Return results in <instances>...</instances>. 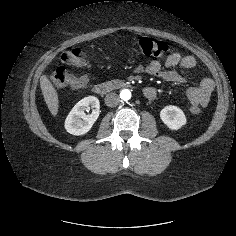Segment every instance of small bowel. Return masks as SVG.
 Wrapping results in <instances>:
<instances>
[{
  "label": "small bowel",
  "instance_id": "obj_1",
  "mask_svg": "<svg viewBox=\"0 0 236 236\" xmlns=\"http://www.w3.org/2000/svg\"><path fill=\"white\" fill-rule=\"evenodd\" d=\"M175 67L194 69L197 67V60L192 56H183L178 52H173L166 58L164 63L154 59L149 63L137 64L134 70L136 72H145L165 81L177 84L185 83L187 81L185 76L174 70L173 68ZM146 90L154 92V94L148 98H154L156 96V90L154 88L147 87ZM213 90V80L204 77L200 80L198 85L189 87L186 91V95L192 106L206 107L209 104Z\"/></svg>",
  "mask_w": 236,
  "mask_h": 236
}]
</instances>
